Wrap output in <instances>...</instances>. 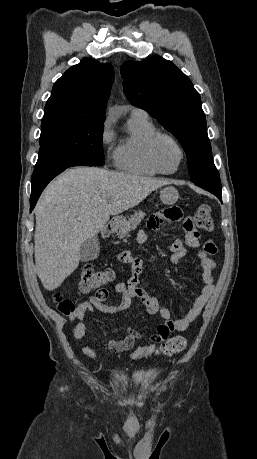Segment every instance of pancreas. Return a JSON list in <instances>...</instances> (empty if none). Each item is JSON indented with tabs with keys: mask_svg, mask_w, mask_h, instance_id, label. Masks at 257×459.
Segmentation results:
<instances>
[{
	"mask_svg": "<svg viewBox=\"0 0 257 459\" xmlns=\"http://www.w3.org/2000/svg\"><path fill=\"white\" fill-rule=\"evenodd\" d=\"M145 213L142 211L135 212L128 221H126L125 225L120 229L119 235L121 237H125L129 234L130 231L134 230L137 225L141 222L144 218Z\"/></svg>",
	"mask_w": 257,
	"mask_h": 459,
	"instance_id": "cf45deb5",
	"label": "pancreas"
}]
</instances>
